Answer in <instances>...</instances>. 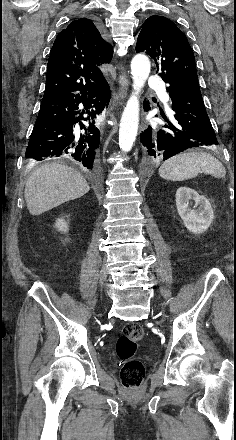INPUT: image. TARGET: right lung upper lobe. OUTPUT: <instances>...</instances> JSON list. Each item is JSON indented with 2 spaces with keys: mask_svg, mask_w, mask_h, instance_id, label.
<instances>
[{
  "mask_svg": "<svg viewBox=\"0 0 236 440\" xmlns=\"http://www.w3.org/2000/svg\"><path fill=\"white\" fill-rule=\"evenodd\" d=\"M112 56L111 45L90 19L71 22L52 46L44 97L97 87L105 81L99 66L110 63Z\"/></svg>",
  "mask_w": 236,
  "mask_h": 440,
  "instance_id": "cb5924a9",
  "label": "right lung upper lobe"
}]
</instances>
